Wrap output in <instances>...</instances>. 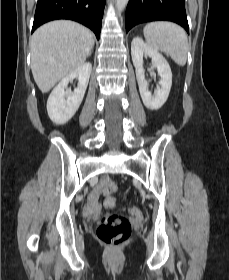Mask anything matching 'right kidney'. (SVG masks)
<instances>
[{
	"label": "right kidney",
	"instance_id": "right-kidney-1",
	"mask_svg": "<svg viewBox=\"0 0 229 280\" xmlns=\"http://www.w3.org/2000/svg\"><path fill=\"white\" fill-rule=\"evenodd\" d=\"M91 63H84L74 72L63 78L51 92L47 101V112L49 118L58 125L68 122L78 110L91 74ZM77 78L78 87L74 92L67 90L68 83Z\"/></svg>",
	"mask_w": 229,
	"mask_h": 280
}]
</instances>
